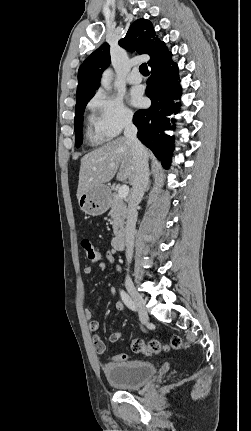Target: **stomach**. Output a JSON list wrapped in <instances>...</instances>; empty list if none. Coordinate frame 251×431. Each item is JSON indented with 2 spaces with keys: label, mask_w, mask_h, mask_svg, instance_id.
Here are the masks:
<instances>
[{
  "label": "stomach",
  "mask_w": 251,
  "mask_h": 431,
  "mask_svg": "<svg viewBox=\"0 0 251 431\" xmlns=\"http://www.w3.org/2000/svg\"><path fill=\"white\" fill-rule=\"evenodd\" d=\"M80 209L87 215L99 216L105 213L110 206L109 189L100 185L89 189L78 199Z\"/></svg>",
  "instance_id": "obj_1"
}]
</instances>
